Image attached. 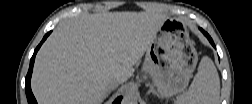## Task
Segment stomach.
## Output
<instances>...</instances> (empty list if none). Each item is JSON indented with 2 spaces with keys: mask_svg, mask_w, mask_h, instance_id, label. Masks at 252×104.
Returning <instances> with one entry per match:
<instances>
[{
  "mask_svg": "<svg viewBox=\"0 0 252 104\" xmlns=\"http://www.w3.org/2000/svg\"><path fill=\"white\" fill-rule=\"evenodd\" d=\"M198 61L197 51L185 25L166 18L149 45L143 70L161 97L184 91Z\"/></svg>",
  "mask_w": 252,
  "mask_h": 104,
  "instance_id": "obj_1",
  "label": "stomach"
}]
</instances>
